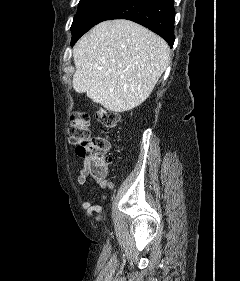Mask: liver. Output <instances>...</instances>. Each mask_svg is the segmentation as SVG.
<instances>
[{
    "mask_svg": "<svg viewBox=\"0 0 240 281\" xmlns=\"http://www.w3.org/2000/svg\"><path fill=\"white\" fill-rule=\"evenodd\" d=\"M170 48L130 20L104 21L73 48V88L113 112L129 111L151 94L169 64Z\"/></svg>",
    "mask_w": 240,
    "mask_h": 281,
    "instance_id": "obj_1",
    "label": "liver"
}]
</instances>
